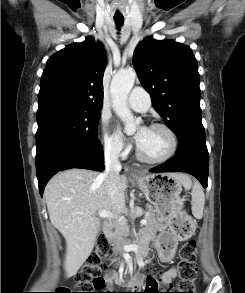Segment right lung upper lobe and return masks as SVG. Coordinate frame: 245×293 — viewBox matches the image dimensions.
<instances>
[{"label": "right lung upper lobe", "instance_id": "right-lung-upper-lobe-1", "mask_svg": "<svg viewBox=\"0 0 245 293\" xmlns=\"http://www.w3.org/2000/svg\"><path fill=\"white\" fill-rule=\"evenodd\" d=\"M106 56L92 38L68 45L47 61L41 76L38 110L70 107L101 110Z\"/></svg>", "mask_w": 245, "mask_h": 293}]
</instances>
